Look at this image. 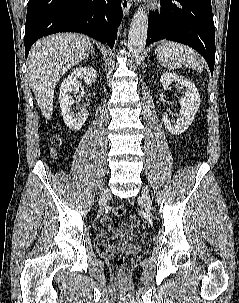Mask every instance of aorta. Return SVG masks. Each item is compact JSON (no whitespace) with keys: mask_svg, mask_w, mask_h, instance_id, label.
<instances>
[{"mask_svg":"<svg viewBox=\"0 0 239 303\" xmlns=\"http://www.w3.org/2000/svg\"><path fill=\"white\" fill-rule=\"evenodd\" d=\"M148 15L143 8L135 12L128 35V50L132 58L138 59L143 52L147 39Z\"/></svg>","mask_w":239,"mask_h":303,"instance_id":"obj_1","label":"aorta"}]
</instances>
